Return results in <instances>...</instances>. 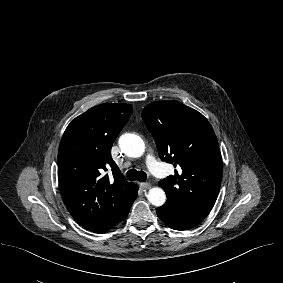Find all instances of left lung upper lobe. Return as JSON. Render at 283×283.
Here are the masks:
<instances>
[{"label": "left lung upper lobe", "mask_w": 283, "mask_h": 283, "mask_svg": "<svg viewBox=\"0 0 283 283\" xmlns=\"http://www.w3.org/2000/svg\"><path fill=\"white\" fill-rule=\"evenodd\" d=\"M142 118L161 160L181 168L159 181L167 195L164 205L205 218L217 199L222 177L221 155L210 123L178 101L150 103Z\"/></svg>", "instance_id": "1"}]
</instances>
